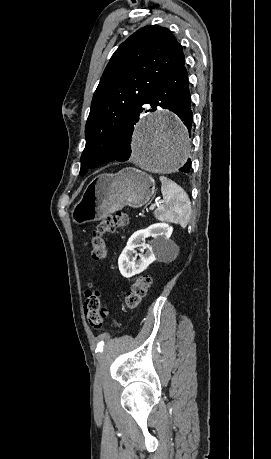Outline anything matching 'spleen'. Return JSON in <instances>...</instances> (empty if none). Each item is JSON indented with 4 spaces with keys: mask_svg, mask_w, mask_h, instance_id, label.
I'll use <instances>...</instances> for the list:
<instances>
[{
    "mask_svg": "<svg viewBox=\"0 0 271 459\" xmlns=\"http://www.w3.org/2000/svg\"><path fill=\"white\" fill-rule=\"evenodd\" d=\"M162 186L161 192L164 198V206H159L154 214L158 220L163 222H173V224H180L181 228H186L190 216L191 206L189 208L188 196L180 186H177L172 180L160 176L159 178Z\"/></svg>",
    "mask_w": 271,
    "mask_h": 459,
    "instance_id": "1",
    "label": "spleen"
}]
</instances>
